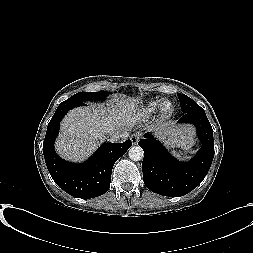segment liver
<instances>
[{
  "instance_id": "1",
  "label": "liver",
  "mask_w": 253,
  "mask_h": 253,
  "mask_svg": "<svg viewBox=\"0 0 253 253\" xmlns=\"http://www.w3.org/2000/svg\"><path fill=\"white\" fill-rule=\"evenodd\" d=\"M138 99L114 98L107 107H92L71 110L61 122V133L56 141L57 153L64 159L81 162L88 158L107 138L111 131L130 130L145 121V113L138 110ZM174 123L162 125L160 138L176 146L191 147L194 144V128ZM152 130V128H148Z\"/></svg>"
}]
</instances>
